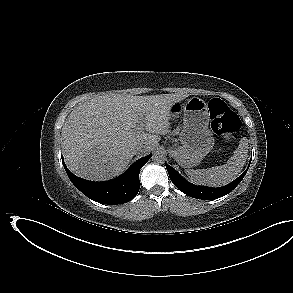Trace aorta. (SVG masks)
I'll use <instances>...</instances> for the list:
<instances>
[{
	"mask_svg": "<svg viewBox=\"0 0 293 293\" xmlns=\"http://www.w3.org/2000/svg\"><path fill=\"white\" fill-rule=\"evenodd\" d=\"M152 161L154 163H163L165 161V154L161 150H157L152 155Z\"/></svg>",
	"mask_w": 293,
	"mask_h": 293,
	"instance_id": "762f6f07",
	"label": "aorta"
}]
</instances>
